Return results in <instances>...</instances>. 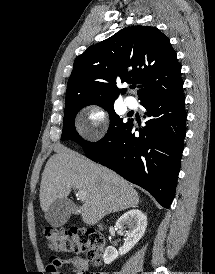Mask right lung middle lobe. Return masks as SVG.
<instances>
[{"label":"right lung middle lobe","mask_w":215,"mask_h":274,"mask_svg":"<svg viewBox=\"0 0 215 274\" xmlns=\"http://www.w3.org/2000/svg\"><path fill=\"white\" fill-rule=\"evenodd\" d=\"M91 104H96V105L103 107L105 110H107L109 112V117H110V126L108 129V132L105 135V137L103 139H101L100 141H98L97 143H90V142L82 139L77 134V132L75 131V127H74V119H75L76 114L80 111L81 108H83L87 105H91ZM113 104H114V102H100V103L80 102L77 104L65 106V114H64V120H63V132H62L61 139L62 140H67V139L75 140L84 149L105 141L107 138H109L111 135H113L115 132H117L119 129H121L123 126L126 125V123L123 122V119L120 118L115 113Z\"/></svg>","instance_id":"1"}]
</instances>
